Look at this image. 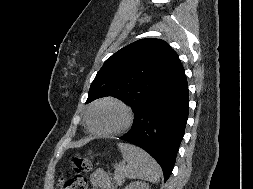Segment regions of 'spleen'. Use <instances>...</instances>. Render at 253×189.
<instances>
[{"instance_id": "spleen-1", "label": "spleen", "mask_w": 253, "mask_h": 189, "mask_svg": "<svg viewBox=\"0 0 253 189\" xmlns=\"http://www.w3.org/2000/svg\"><path fill=\"white\" fill-rule=\"evenodd\" d=\"M127 164L122 167L124 175L131 179H142L150 182H159L162 170L158 163L143 149L127 143H119Z\"/></svg>"}]
</instances>
